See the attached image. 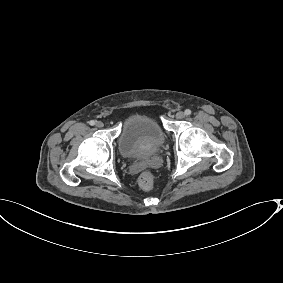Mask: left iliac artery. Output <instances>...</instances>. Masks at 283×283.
Segmentation results:
<instances>
[{"label":"left iliac artery","instance_id":"44dca946","mask_svg":"<svg viewBox=\"0 0 283 283\" xmlns=\"http://www.w3.org/2000/svg\"><path fill=\"white\" fill-rule=\"evenodd\" d=\"M185 114L188 116V115H191V110L190 109H186L185 110Z\"/></svg>","mask_w":283,"mask_h":283}]
</instances>
